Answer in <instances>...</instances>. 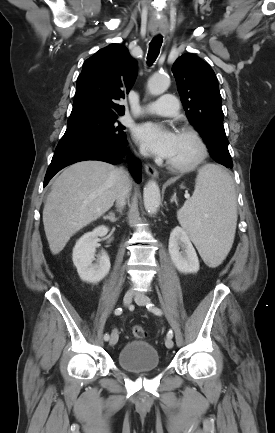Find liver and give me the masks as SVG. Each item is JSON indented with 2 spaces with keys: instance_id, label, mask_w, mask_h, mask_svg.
Segmentation results:
<instances>
[{
  "instance_id": "1",
  "label": "liver",
  "mask_w": 275,
  "mask_h": 433,
  "mask_svg": "<svg viewBox=\"0 0 275 433\" xmlns=\"http://www.w3.org/2000/svg\"><path fill=\"white\" fill-rule=\"evenodd\" d=\"M127 184L122 170L102 161H82L66 168L54 180L43 210L52 254L60 253L76 232L107 212Z\"/></svg>"
}]
</instances>
